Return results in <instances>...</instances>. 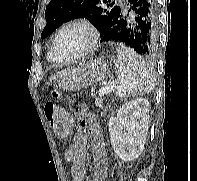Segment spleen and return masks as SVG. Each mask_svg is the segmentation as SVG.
<instances>
[{
    "mask_svg": "<svg viewBox=\"0 0 197 181\" xmlns=\"http://www.w3.org/2000/svg\"><path fill=\"white\" fill-rule=\"evenodd\" d=\"M115 94L119 98L140 96L154 88V75L151 67L130 48L122 43L116 45Z\"/></svg>",
    "mask_w": 197,
    "mask_h": 181,
    "instance_id": "obj_1",
    "label": "spleen"
}]
</instances>
